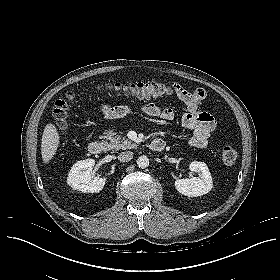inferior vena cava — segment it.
I'll list each match as a JSON object with an SVG mask.
<instances>
[{
	"label": "inferior vena cava",
	"mask_w": 280,
	"mask_h": 280,
	"mask_svg": "<svg viewBox=\"0 0 280 280\" xmlns=\"http://www.w3.org/2000/svg\"><path fill=\"white\" fill-rule=\"evenodd\" d=\"M133 158V152L131 151H125L121 152L118 156L119 161L121 162H128Z\"/></svg>",
	"instance_id": "602c4592"
}]
</instances>
